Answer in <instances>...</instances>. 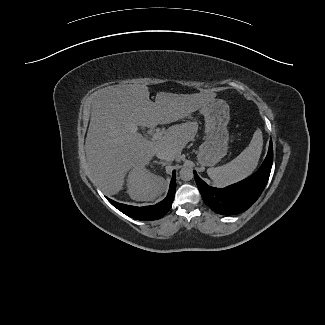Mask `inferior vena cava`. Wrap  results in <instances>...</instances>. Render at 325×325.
<instances>
[{
    "label": "inferior vena cava",
    "instance_id": "602c4592",
    "mask_svg": "<svg viewBox=\"0 0 325 325\" xmlns=\"http://www.w3.org/2000/svg\"><path fill=\"white\" fill-rule=\"evenodd\" d=\"M156 156L159 159L165 160V161H173L175 159V154L167 149H160L157 151Z\"/></svg>",
    "mask_w": 325,
    "mask_h": 325
}]
</instances>
